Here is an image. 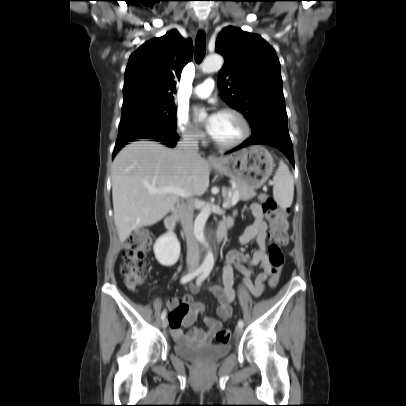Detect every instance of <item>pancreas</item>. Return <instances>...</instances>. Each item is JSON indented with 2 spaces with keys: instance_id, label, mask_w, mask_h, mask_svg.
I'll return each mask as SVG.
<instances>
[{
  "instance_id": "pancreas-1",
  "label": "pancreas",
  "mask_w": 406,
  "mask_h": 406,
  "mask_svg": "<svg viewBox=\"0 0 406 406\" xmlns=\"http://www.w3.org/2000/svg\"><path fill=\"white\" fill-rule=\"evenodd\" d=\"M235 191L239 192L238 200L248 201L256 196V192L253 189L246 188L240 184L235 183V187L229 188L223 194L224 202L231 203L232 196Z\"/></svg>"
}]
</instances>
